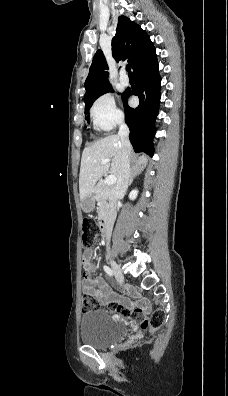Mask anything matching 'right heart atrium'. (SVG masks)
I'll list each match as a JSON object with an SVG mask.
<instances>
[{
	"label": "right heart atrium",
	"instance_id": "d8ad5b80",
	"mask_svg": "<svg viewBox=\"0 0 228 396\" xmlns=\"http://www.w3.org/2000/svg\"><path fill=\"white\" fill-rule=\"evenodd\" d=\"M90 116L94 126L101 131H110L123 121V114L110 93L101 94L93 102Z\"/></svg>",
	"mask_w": 228,
	"mask_h": 396
}]
</instances>
